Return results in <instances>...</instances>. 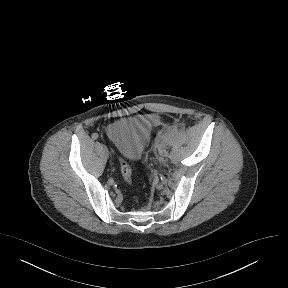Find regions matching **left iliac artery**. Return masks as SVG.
I'll return each mask as SVG.
<instances>
[{
	"label": "left iliac artery",
	"instance_id": "1",
	"mask_svg": "<svg viewBox=\"0 0 288 288\" xmlns=\"http://www.w3.org/2000/svg\"><path fill=\"white\" fill-rule=\"evenodd\" d=\"M170 137H171V134H167V135H165L164 139L168 140Z\"/></svg>",
	"mask_w": 288,
	"mask_h": 288
}]
</instances>
